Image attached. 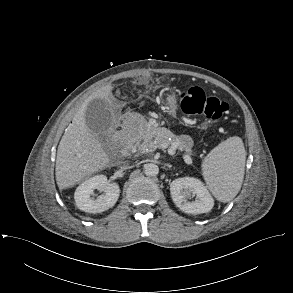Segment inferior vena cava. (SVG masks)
Returning <instances> with one entry per match:
<instances>
[{
  "label": "inferior vena cava",
  "instance_id": "inferior-vena-cava-1",
  "mask_svg": "<svg viewBox=\"0 0 293 293\" xmlns=\"http://www.w3.org/2000/svg\"><path fill=\"white\" fill-rule=\"evenodd\" d=\"M128 168H130V167L127 166V165H126V166H122V167H121V170H126V169H128Z\"/></svg>",
  "mask_w": 293,
  "mask_h": 293
}]
</instances>
